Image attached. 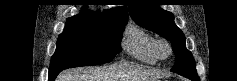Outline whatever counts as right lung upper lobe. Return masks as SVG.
Returning <instances> with one entry per match:
<instances>
[{"instance_id": "obj_1", "label": "right lung upper lobe", "mask_w": 237, "mask_h": 81, "mask_svg": "<svg viewBox=\"0 0 237 81\" xmlns=\"http://www.w3.org/2000/svg\"><path fill=\"white\" fill-rule=\"evenodd\" d=\"M128 13L126 7L105 10L103 12H83L79 15L70 17L67 21H79L89 23H114V22H127Z\"/></svg>"}]
</instances>
